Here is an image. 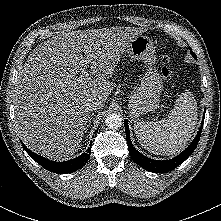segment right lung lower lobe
I'll use <instances>...</instances> for the list:
<instances>
[{
    "mask_svg": "<svg viewBox=\"0 0 221 221\" xmlns=\"http://www.w3.org/2000/svg\"><path fill=\"white\" fill-rule=\"evenodd\" d=\"M22 145L25 151L29 154V156H31L38 164H40L46 170L57 174L71 173L82 168L89 160L90 158L89 153L91 151V148H88L87 152L81 154L80 156L74 159L64 162H55L35 154L31 150H29L23 143Z\"/></svg>",
    "mask_w": 221,
    "mask_h": 221,
    "instance_id": "98d812e1",
    "label": "right lung lower lobe"
}]
</instances>
